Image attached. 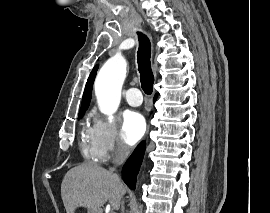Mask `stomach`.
<instances>
[{"label": "stomach", "instance_id": "obj_1", "mask_svg": "<svg viewBox=\"0 0 270 213\" xmlns=\"http://www.w3.org/2000/svg\"><path fill=\"white\" fill-rule=\"evenodd\" d=\"M87 213H102L101 210H91V209H88Z\"/></svg>", "mask_w": 270, "mask_h": 213}]
</instances>
